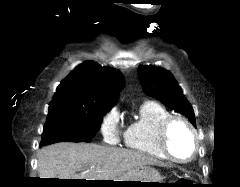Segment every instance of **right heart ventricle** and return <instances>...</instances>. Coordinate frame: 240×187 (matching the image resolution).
<instances>
[{"mask_svg":"<svg viewBox=\"0 0 240 187\" xmlns=\"http://www.w3.org/2000/svg\"><path fill=\"white\" fill-rule=\"evenodd\" d=\"M140 117L123 134L125 146L144 155L167 159L159 145V129L172 114L161 104L146 101L140 106Z\"/></svg>","mask_w":240,"mask_h":187,"instance_id":"e07e8e85","label":"right heart ventricle"}]
</instances>
